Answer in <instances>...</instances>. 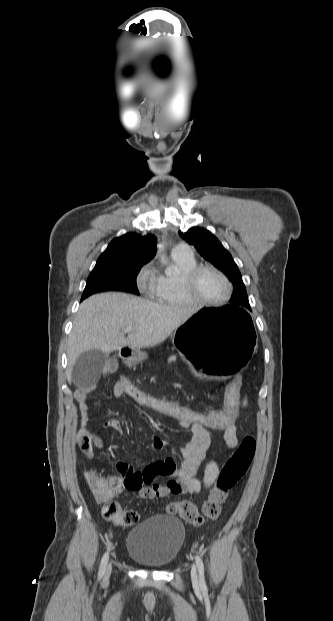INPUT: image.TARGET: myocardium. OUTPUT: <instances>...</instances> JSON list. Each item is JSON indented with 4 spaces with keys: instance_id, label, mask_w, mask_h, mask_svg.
I'll return each mask as SVG.
<instances>
[{
    "instance_id": "obj_1",
    "label": "myocardium",
    "mask_w": 333,
    "mask_h": 621,
    "mask_svg": "<svg viewBox=\"0 0 333 621\" xmlns=\"http://www.w3.org/2000/svg\"><path fill=\"white\" fill-rule=\"evenodd\" d=\"M205 271H211L220 276L227 285V293L226 295L216 301L204 300L200 298L195 291V286L198 277ZM183 291L186 297L190 300L191 304L201 305V306H221L227 303L232 294H233V284L228 276L219 268L211 265H200L196 266L194 269L189 271L184 277L182 281Z\"/></svg>"
}]
</instances>
